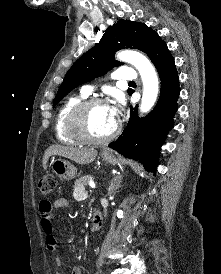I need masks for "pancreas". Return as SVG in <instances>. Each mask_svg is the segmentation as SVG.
Returning a JSON list of instances; mask_svg holds the SVG:
<instances>
[{
    "label": "pancreas",
    "mask_w": 221,
    "mask_h": 274,
    "mask_svg": "<svg viewBox=\"0 0 221 274\" xmlns=\"http://www.w3.org/2000/svg\"><path fill=\"white\" fill-rule=\"evenodd\" d=\"M92 179L93 178L91 176H84L76 180L74 183V191L81 194L85 190V187L89 184V181Z\"/></svg>",
    "instance_id": "cf45deb5"
}]
</instances>
